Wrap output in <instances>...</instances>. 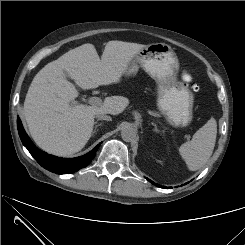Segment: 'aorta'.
Instances as JSON below:
<instances>
[{
    "label": "aorta",
    "instance_id": "1",
    "mask_svg": "<svg viewBox=\"0 0 245 245\" xmlns=\"http://www.w3.org/2000/svg\"><path fill=\"white\" fill-rule=\"evenodd\" d=\"M137 135L136 130L131 126H125L121 130V137L126 142H131L135 140Z\"/></svg>",
    "mask_w": 245,
    "mask_h": 245
}]
</instances>
